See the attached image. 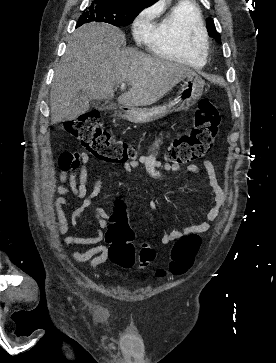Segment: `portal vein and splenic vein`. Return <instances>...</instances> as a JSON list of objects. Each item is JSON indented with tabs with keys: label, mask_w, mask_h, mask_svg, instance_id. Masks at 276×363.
<instances>
[{
	"label": "portal vein and splenic vein",
	"mask_w": 276,
	"mask_h": 363,
	"mask_svg": "<svg viewBox=\"0 0 276 363\" xmlns=\"http://www.w3.org/2000/svg\"><path fill=\"white\" fill-rule=\"evenodd\" d=\"M125 84L123 83V84H121V89H123V88H125Z\"/></svg>",
	"instance_id": "1"
}]
</instances>
